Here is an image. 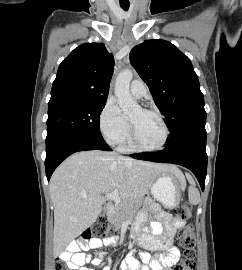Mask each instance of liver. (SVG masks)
<instances>
[{
  "label": "liver",
  "instance_id": "liver-1",
  "mask_svg": "<svg viewBox=\"0 0 242 270\" xmlns=\"http://www.w3.org/2000/svg\"><path fill=\"white\" fill-rule=\"evenodd\" d=\"M167 172L184 178L173 165L139 161L115 152L91 150L71 155L54 171L49 185L55 253L96 221L105 202L103 194L117 189L123 200L138 202L156 178Z\"/></svg>",
  "mask_w": 242,
  "mask_h": 270
}]
</instances>
